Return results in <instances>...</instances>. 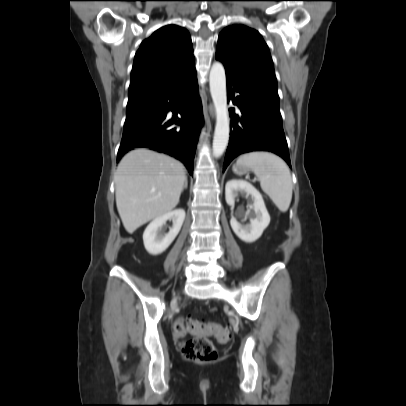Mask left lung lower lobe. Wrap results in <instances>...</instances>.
<instances>
[{
  "label": "left lung lower lobe",
  "mask_w": 406,
  "mask_h": 406,
  "mask_svg": "<svg viewBox=\"0 0 406 406\" xmlns=\"http://www.w3.org/2000/svg\"><path fill=\"white\" fill-rule=\"evenodd\" d=\"M227 94L240 113L231 108L230 141L224 161L225 170L238 155L251 151H270L291 167L288 146L282 128L278 94L251 85L226 71Z\"/></svg>",
  "instance_id": "1"
}]
</instances>
